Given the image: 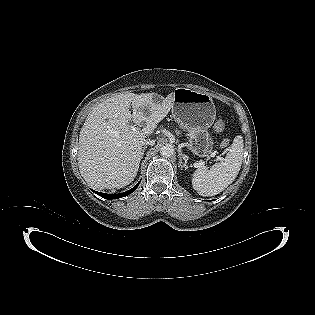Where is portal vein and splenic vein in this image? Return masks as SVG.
<instances>
[{"mask_svg": "<svg viewBox=\"0 0 315 315\" xmlns=\"http://www.w3.org/2000/svg\"><path fill=\"white\" fill-rule=\"evenodd\" d=\"M131 128H132V130H136L137 128H136V125H133V126H131ZM217 159H219V160H223V158H221V157H217Z\"/></svg>", "mask_w": 315, "mask_h": 315, "instance_id": "18ae733b", "label": "portal vein and splenic vein"}]
</instances>
